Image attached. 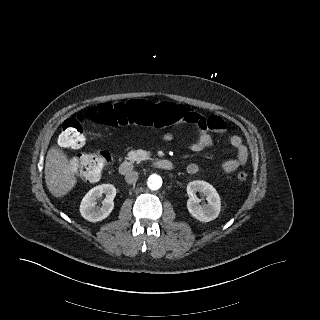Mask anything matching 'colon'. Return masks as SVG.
Returning a JSON list of instances; mask_svg holds the SVG:
<instances>
[{
  "label": "colon",
  "mask_w": 320,
  "mask_h": 320,
  "mask_svg": "<svg viewBox=\"0 0 320 320\" xmlns=\"http://www.w3.org/2000/svg\"><path fill=\"white\" fill-rule=\"evenodd\" d=\"M88 118L97 123L121 126L139 124L151 127H164L181 120L182 107L162 102L154 104L143 99H130L121 103H101L89 108ZM84 120L71 117L64 121L59 136L60 144L65 148H80L85 142ZM111 162L110 155L105 151L96 153H80L73 159V166L80 177L88 181L100 179ZM248 174L239 172L237 179L246 181Z\"/></svg>",
  "instance_id": "colon-1"
}]
</instances>
